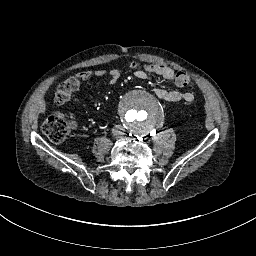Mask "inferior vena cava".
<instances>
[{"label":"inferior vena cava","mask_w":256,"mask_h":256,"mask_svg":"<svg viewBox=\"0 0 256 256\" xmlns=\"http://www.w3.org/2000/svg\"><path fill=\"white\" fill-rule=\"evenodd\" d=\"M118 131H123V128L117 125L115 126V129H113V135L122 136L123 132L119 133Z\"/></svg>","instance_id":"inferior-vena-cava-1"}]
</instances>
